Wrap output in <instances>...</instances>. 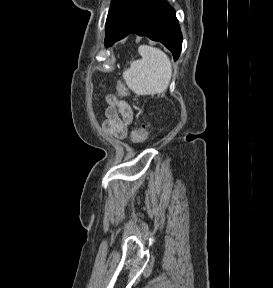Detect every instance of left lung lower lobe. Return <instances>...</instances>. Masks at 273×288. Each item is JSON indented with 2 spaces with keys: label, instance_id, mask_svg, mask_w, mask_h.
Returning <instances> with one entry per match:
<instances>
[{
  "label": "left lung lower lobe",
  "instance_id": "left-lung-lower-lobe-1",
  "mask_svg": "<svg viewBox=\"0 0 273 288\" xmlns=\"http://www.w3.org/2000/svg\"><path fill=\"white\" fill-rule=\"evenodd\" d=\"M131 33L163 43L174 60L179 58L182 34L175 10L166 0H131L106 47Z\"/></svg>",
  "mask_w": 273,
  "mask_h": 288
}]
</instances>
